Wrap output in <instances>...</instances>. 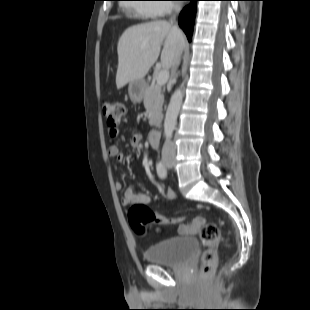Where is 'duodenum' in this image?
<instances>
[{"label": "duodenum", "mask_w": 310, "mask_h": 310, "mask_svg": "<svg viewBox=\"0 0 310 310\" xmlns=\"http://www.w3.org/2000/svg\"><path fill=\"white\" fill-rule=\"evenodd\" d=\"M161 131L159 129H155L150 132L149 141L152 148H158L160 144Z\"/></svg>", "instance_id": "duodenum-1"}]
</instances>
